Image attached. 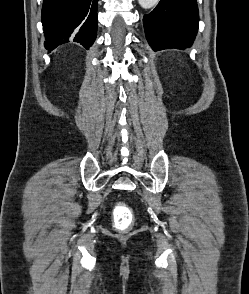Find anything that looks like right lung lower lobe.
<instances>
[{
	"label": "right lung lower lobe",
	"mask_w": 249,
	"mask_h": 294,
	"mask_svg": "<svg viewBox=\"0 0 249 294\" xmlns=\"http://www.w3.org/2000/svg\"><path fill=\"white\" fill-rule=\"evenodd\" d=\"M98 0H44L42 24L45 47L74 41L86 49L93 44L97 32Z\"/></svg>",
	"instance_id": "right-lung-lower-lobe-1"
}]
</instances>
